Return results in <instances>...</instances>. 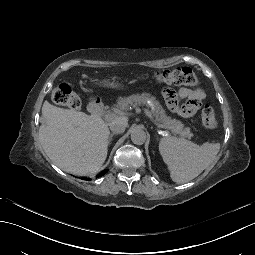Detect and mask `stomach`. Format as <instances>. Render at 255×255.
I'll return each mask as SVG.
<instances>
[{
  "mask_svg": "<svg viewBox=\"0 0 255 255\" xmlns=\"http://www.w3.org/2000/svg\"><path fill=\"white\" fill-rule=\"evenodd\" d=\"M121 86L120 82L116 79L111 80L108 84L109 89L113 92L118 91Z\"/></svg>",
  "mask_w": 255,
  "mask_h": 255,
  "instance_id": "1",
  "label": "stomach"
}]
</instances>
